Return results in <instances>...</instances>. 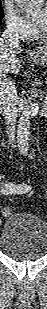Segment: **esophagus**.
<instances>
[{
    "label": "esophagus",
    "mask_w": 47,
    "mask_h": 309,
    "mask_svg": "<svg viewBox=\"0 0 47 309\" xmlns=\"http://www.w3.org/2000/svg\"><path fill=\"white\" fill-rule=\"evenodd\" d=\"M31 53L34 54V53H36V51L32 50Z\"/></svg>",
    "instance_id": "1"
}]
</instances>
